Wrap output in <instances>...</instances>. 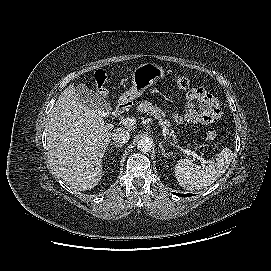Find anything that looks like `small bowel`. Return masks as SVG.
<instances>
[{
  "instance_id": "c3829d8e",
  "label": "small bowel",
  "mask_w": 271,
  "mask_h": 271,
  "mask_svg": "<svg viewBox=\"0 0 271 271\" xmlns=\"http://www.w3.org/2000/svg\"><path fill=\"white\" fill-rule=\"evenodd\" d=\"M187 104L184 116L173 113V119L179 123L210 124L221 117L218 100L209 94L204 87L192 88L186 95Z\"/></svg>"
}]
</instances>
